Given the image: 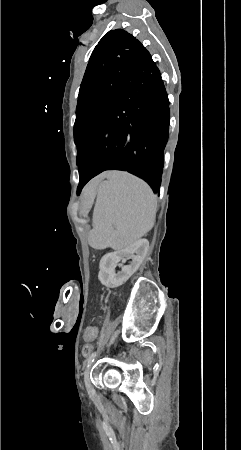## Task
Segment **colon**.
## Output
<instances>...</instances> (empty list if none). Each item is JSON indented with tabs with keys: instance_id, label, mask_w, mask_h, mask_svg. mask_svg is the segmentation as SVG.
Masks as SVG:
<instances>
[{
	"instance_id": "5ec220e1",
	"label": "colon",
	"mask_w": 241,
	"mask_h": 450,
	"mask_svg": "<svg viewBox=\"0 0 241 450\" xmlns=\"http://www.w3.org/2000/svg\"><path fill=\"white\" fill-rule=\"evenodd\" d=\"M97 332V325L96 324H87L86 328L83 331V334L85 337H94L95 333ZM93 346L91 344H88L87 346L83 347L81 351V356H86L92 353ZM146 353H148L150 350L146 348L144 350Z\"/></svg>"
}]
</instances>
